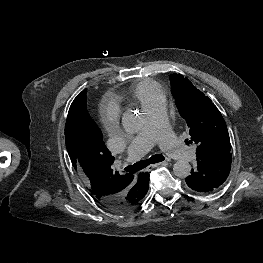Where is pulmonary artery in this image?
<instances>
[{
  "mask_svg": "<svg viewBox=\"0 0 263 263\" xmlns=\"http://www.w3.org/2000/svg\"><path fill=\"white\" fill-rule=\"evenodd\" d=\"M146 122L142 130L128 146L126 160L131 162L146 154L154 144L169 156L190 161L195 156V149L183 145L169 127L164 99H159L144 108Z\"/></svg>",
  "mask_w": 263,
  "mask_h": 263,
  "instance_id": "e3ab8cb5",
  "label": "pulmonary artery"
}]
</instances>
